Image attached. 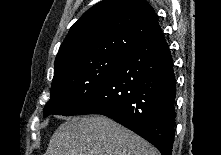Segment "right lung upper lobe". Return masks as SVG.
<instances>
[{
	"mask_svg": "<svg viewBox=\"0 0 221 155\" xmlns=\"http://www.w3.org/2000/svg\"><path fill=\"white\" fill-rule=\"evenodd\" d=\"M159 33L154 9L146 1L103 0L72 25L56 56L54 73L79 59L126 54Z\"/></svg>",
	"mask_w": 221,
	"mask_h": 155,
	"instance_id": "obj_1",
	"label": "right lung upper lobe"
}]
</instances>
